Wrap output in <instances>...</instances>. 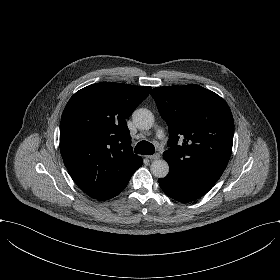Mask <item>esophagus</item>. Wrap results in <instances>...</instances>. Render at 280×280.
Returning <instances> with one entry per match:
<instances>
[{
	"label": "esophagus",
	"mask_w": 280,
	"mask_h": 280,
	"mask_svg": "<svg viewBox=\"0 0 280 280\" xmlns=\"http://www.w3.org/2000/svg\"><path fill=\"white\" fill-rule=\"evenodd\" d=\"M160 157H161V156H160L159 153H155V154H153V155H151V156H147V158L150 159V160H157V159H159Z\"/></svg>",
	"instance_id": "1"
}]
</instances>
